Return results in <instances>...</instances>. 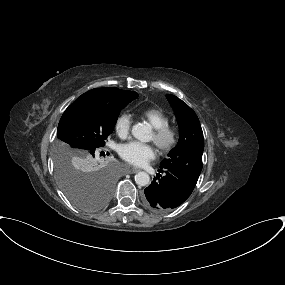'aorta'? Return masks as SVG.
I'll return each instance as SVG.
<instances>
[{"mask_svg": "<svg viewBox=\"0 0 285 285\" xmlns=\"http://www.w3.org/2000/svg\"><path fill=\"white\" fill-rule=\"evenodd\" d=\"M132 135L141 142H148L151 137V129L148 125L138 123L132 127ZM150 176L146 172H138L135 175V182L139 186H146L149 184Z\"/></svg>", "mask_w": 285, "mask_h": 285, "instance_id": "762f6f07", "label": "aorta"}]
</instances>
